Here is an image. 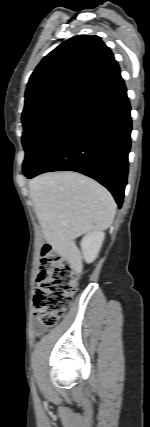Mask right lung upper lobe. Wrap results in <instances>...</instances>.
Masks as SVG:
<instances>
[{
	"label": "right lung upper lobe",
	"instance_id": "1",
	"mask_svg": "<svg viewBox=\"0 0 150 427\" xmlns=\"http://www.w3.org/2000/svg\"><path fill=\"white\" fill-rule=\"evenodd\" d=\"M121 79L119 65L100 37L75 36L51 51L32 73L22 116L54 104L81 106Z\"/></svg>",
	"mask_w": 150,
	"mask_h": 427
}]
</instances>
